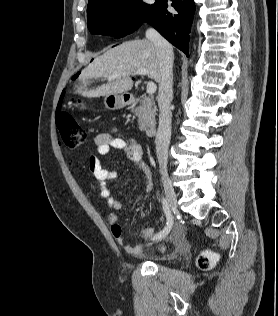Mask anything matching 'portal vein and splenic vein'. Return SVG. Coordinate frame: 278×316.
Instances as JSON below:
<instances>
[{"label": "portal vein and splenic vein", "instance_id": "obj_1", "mask_svg": "<svg viewBox=\"0 0 278 316\" xmlns=\"http://www.w3.org/2000/svg\"><path fill=\"white\" fill-rule=\"evenodd\" d=\"M136 74L138 75H146L148 74V70L145 68H140L136 71ZM119 75H114L111 77V79L117 78ZM157 86L153 81H149L147 83V93L148 94H153L156 92Z\"/></svg>", "mask_w": 278, "mask_h": 316}]
</instances>
